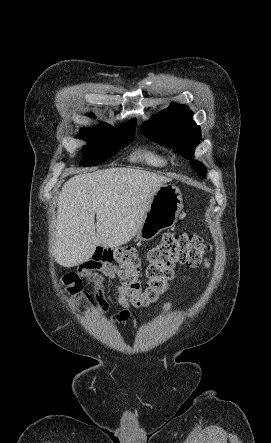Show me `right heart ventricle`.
Returning <instances> with one entry per match:
<instances>
[{
	"label": "right heart ventricle",
	"instance_id": "right-heart-ventricle-1",
	"mask_svg": "<svg viewBox=\"0 0 271 443\" xmlns=\"http://www.w3.org/2000/svg\"><path fill=\"white\" fill-rule=\"evenodd\" d=\"M131 158L157 169L167 168L172 163L171 155L167 151L158 148L142 149L134 153Z\"/></svg>",
	"mask_w": 271,
	"mask_h": 443
}]
</instances>
